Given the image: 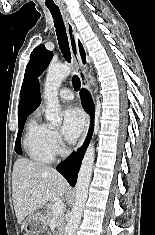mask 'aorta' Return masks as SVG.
Instances as JSON below:
<instances>
[{"label":"aorta","instance_id":"762f6f07","mask_svg":"<svg viewBox=\"0 0 155 235\" xmlns=\"http://www.w3.org/2000/svg\"><path fill=\"white\" fill-rule=\"evenodd\" d=\"M71 73V67L67 64L52 65L48 68L43 97L46 102V119L54 126L61 124L60 104L58 89L62 81ZM93 83V82H92ZM95 159L93 142L90 143L84 155L78 179L76 183L75 204L71 210L70 219L65 227L64 235H74L81 220L83 207L88 197V188L92 176Z\"/></svg>","mask_w":155,"mask_h":235}]
</instances>
